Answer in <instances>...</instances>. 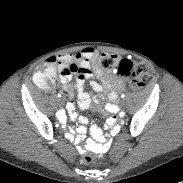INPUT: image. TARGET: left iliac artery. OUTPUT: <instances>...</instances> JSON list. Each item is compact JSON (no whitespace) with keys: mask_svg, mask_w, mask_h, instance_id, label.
I'll return each mask as SVG.
<instances>
[{"mask_svg":"<svg viewBox=\"0 0 183 183\" xmlns=\"http://www.w3.org/2000/svg\"><path fill=\"white\" fill-rule=\"evenodd\" d=\"M124 97H125V94H122V95H121V98H124Z\"/></svg>","mask_w":183,"mask_h":183,"instance_id":"left-iliac-artery-1","label":"left iliac artery"}]
</instances>
